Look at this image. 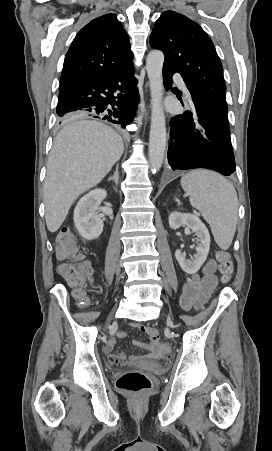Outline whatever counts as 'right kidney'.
Instances as JSON below:
<instances>
[{
    "mask_svg": "<svg viewBox=\"0 0 272 451\" xmlns=\"http://www.w3.org/2000/svg\"><path fill=\"white\" fill-rule=\"evenodd\" d=\"M106 196V190H92L79 200L74 210V224L85 239H94L103 231V220L97 210Z\"/></svg>",
    "mask_w": 272,
    "mask_h": 451,
    "instance_id": "1",
    "label": "right kidney"
}]
</instances>
